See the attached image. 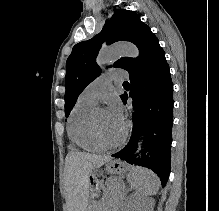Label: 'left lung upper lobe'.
I'll return each mask as SVG.
<instances>
[{"mask_svg": "<svg viewBox=\"0 0 219 211\" xmlns=\"http://www.w3.org/2000/svg\"><path fill=\"white\" fill-rule=\"evenodd\" d=\"M104 41L112 44L118 41L133 42L139 49L138 58L123 57L113 67L133 73L162 48L150 27L144 24L135 12L118 9L102 31L93 38L76 44L66 62L65 115L69 116L78 96L85 87L97 78L101 69L96 63L98 51ZM122 96V95H121Z\"/></svg>", "mask_w": 219, "mask_h": 211, "instance_id": "1", "label": "left lung upper lobe"}]
</instances>
